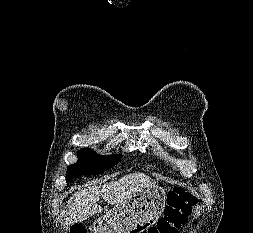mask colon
<instances>
[{
    "mask_svg": "<svg viewBox=\"0 0 253 233\" xmlns=\"http://www.w3.org/2000/svg\"><path fill=\"white\" fill-rule=\"evenodd\" d=\"M197 198L181 188H174L167 195V205L164 215L156 225L143 233H178V230L186 223ZM71 233H87L82 224H75Z\"/></svg>",
    "mask_w": 253,
    "mask_h": 233,
    "instance_id": "obj_1",
    "label": "colon"
}]
</instances>
